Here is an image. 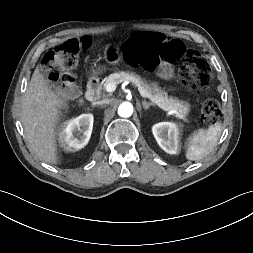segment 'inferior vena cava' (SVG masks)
<instances>
[{"instance_id": "1", "label": "inferior vena cava", "mask_w": 253, "mask_h": 253, "mask_svg": "<svg viewBox=\"0 0 253 253\" xmlns=\"http://www.w3.org/2000/svg\"><path fill=\"white\" fill-rule=\"evenodd\" d=\"M110 100L109 99H103L97 102L98 105H104V104H109Z\"/></svg>"}]
</instances>
